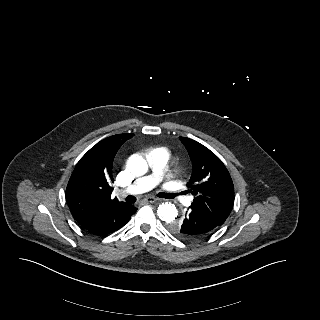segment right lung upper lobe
<instances>
[{
    "instance_id": "right-lung-upper-lobe-1",
    "label": "right lung upper lobe",
    "mask_w": 320,
    "mask_h": 320,
    "mask_svg": "<svg viewBox=\"0 0 320 320\" xmlns=\"http://www.w3.org/2000/svg\"><path fill=\"white\" fill-rule=\"evenodd\" d=\"M133 134H117L98 142L77 163L66 188V200L77 222L123 204L111 199L113 159Z\"/></svg>"
}]
</instances>
